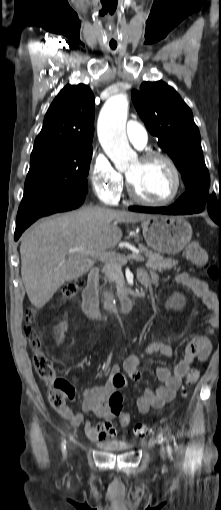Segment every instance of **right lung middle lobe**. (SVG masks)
<instances>
[{"label":"right lung middle lobe","mask_w":221,"mask_h":510,"mask_svg":"<svg viewBox=\"0 0 221 510\" xmlns=\"http://www.w3.org/2000/svg\"><path fill=\"white\" fill-rule=\"evenodd\" d=\"M92 146L31 157L19 210L39 214L88 192Z\"/></svg>","instance_id":"right-lung-middle-lobe-1"}]
</instances>
